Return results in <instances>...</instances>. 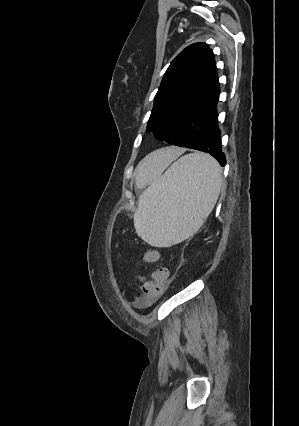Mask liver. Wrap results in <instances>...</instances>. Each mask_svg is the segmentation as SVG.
Here are the masks:
<instances>
[{
  "instance_id": "6515ba94",
  "label": "liver",
  "mask_w": 299,
  "mask_h": 426,
  "mask_svg": "<svg viewBox=\"0 0 299 426\" xmlns=\"http://www.w3.org/2000/svg\"><path fill=\"white\" fill-rule=\"evenodd\" d=\"M174 153L173 148L159 149L147 155L137 167V175H143L155 165L168 160Z\"/></svg>"
}]
</instances>
